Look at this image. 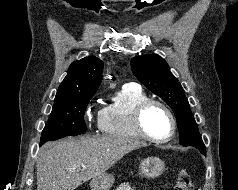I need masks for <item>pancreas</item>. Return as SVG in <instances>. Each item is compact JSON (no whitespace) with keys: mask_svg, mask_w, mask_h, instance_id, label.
Masks as SVG:
<instances>
[{"mask_svg":"<svg viewBox=\"0 0 238 190\" xmlns=\"http://www.w3.org/2000/svg\"><path fill=\"white\" fill-rule=\"evenodd\" d=\"M116 190H134L131 188V185L129 183H122L119 185V187L116 188Z\"/></svg>","mask_w":238,"mask_h":190,"instance_id":"cf45deb5","label":"pancreas"}]
</instances>
